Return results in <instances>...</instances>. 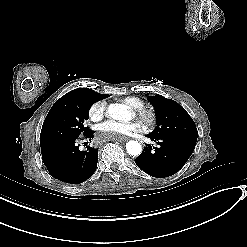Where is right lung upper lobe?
Listing matches in <instances>:
<instances>
[{
    "label": "right lung upper lobe",
    "instance_id": "cb5924a9",
    "mask_svg": "<svg viewBox=\"0 0 247 247\" xmlns=\"http://www.w3.org/2000/svg\"><path fill=\"white\" fill-rule=\"evenodd\" d=\"M94 92H95V91H94ZM96 93H97V92H96ZM97 96H98V98H100V100H102V99L108 97L109 95L97 93Z\"/></svg>",
    "mask_w": 247,
    "mask_h": 247
}]
</instances>
